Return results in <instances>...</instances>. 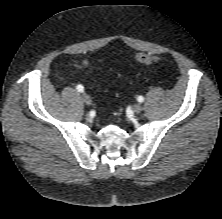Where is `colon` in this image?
Masks as SVG:
<instances>
[{"instance_id":"1","label":"colon","mask_w":222,"mask_h":219,"mask_svg":"<svg viewBox=\"0 0 222 219\" xmlns=\"http://www.w3.org/2000/svg\"><path fill=\"white\" fill-rule=\"evenodd\" d=\"M136 60L139 63H142V64H150V63H153V62H158L161 59L159 57L153 56L151 54L139 53V54L136 55Z\"/></svg>"}]
</instances>
